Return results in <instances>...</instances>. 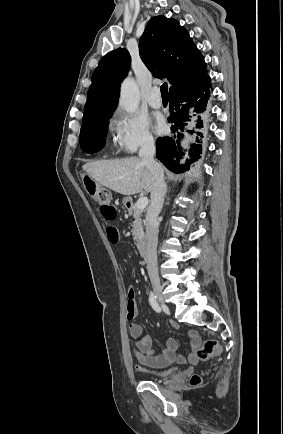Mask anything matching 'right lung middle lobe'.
I'll return each mask as SVG.
<instances>
[{"instance_id":"dd1d6c3e","label":"right lung middle lobe","mask_w":283,"mask_h":434,"mask_svg":"<svg viewBox=\"0 0 283 434\" xmlns=\"http://www.w3.org/2000/svg\"><path fill=\"white\" fill-rule=\"evenodd\" d=\"M110 117L111 115H108L94 124L81 128L79 142L84 152L93 154L104 146L105 135L109 124L107 120Z\"/></svg>"}]
</instances>
